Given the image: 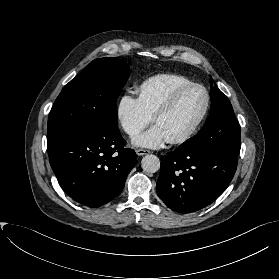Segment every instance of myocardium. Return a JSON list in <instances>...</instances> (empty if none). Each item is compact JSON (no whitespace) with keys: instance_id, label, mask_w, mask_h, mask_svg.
I'll return each mask as SVG.
<instances>
[{"instance_id":"1","label":"myocardium","mask_w":279,"mask_h":279,"mask_svg":"<svg viewBox=\"0 0 279 279\" xmlns=\"http://www.w3.org/2000/svg\"><path fill=\"white\" fill-rule=\"evenodd\" d=\"M194 88L201 89L205 93V104H204L203 110L200 113V115L198 116V118L196 119V121L194 122V124L189 128V130L187 132H185L180 137L169 139V142L171 144H183V143L187 142L188 140H190L197 133V131L201 127L202 123L204 122V120L209 112V109H210L211 97H210V93H209L208 89L205 86H203L202 84H198V83H194V82L183 85V86L179 87L178 89H176L170 95V97L163 104V106L153 116V122L156 123L158 119H160L161 117L168 114L174 108V106L178 102L179 98L186 91H188L190 89H194Z\"/></svg>"}]
</instances>
